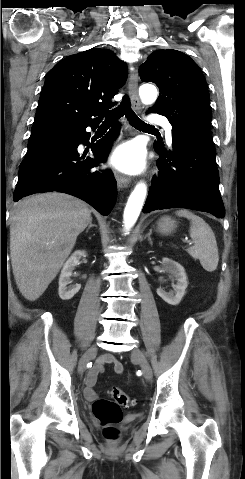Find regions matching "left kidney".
<instances>
[{"label": "left kidney", "instance_id": "5707ae66", "mask_svg": "<svg viewBox=\"0 0 245 479\" xmlns=\"http://www.w3.org/2000/svg\"><path fill=\"white\" fill-rule=\"evenodd\" d=\"M162 268L165 272L170 273L177 283L173 285L174 291L165 292L163 289L158 288L157 294L168 304L178 305L185 295L188 285L185 270L181 264L166 257L162 259Z\"/></svg>", "mask_w": 245, "mask_h": 479}]
</instances>
